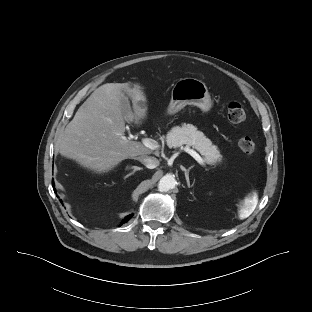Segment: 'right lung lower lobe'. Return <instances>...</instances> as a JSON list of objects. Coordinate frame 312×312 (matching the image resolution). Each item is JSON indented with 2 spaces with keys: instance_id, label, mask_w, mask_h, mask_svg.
<instances>
[{
  "instance_id": "right-lung-lower-lobe-1",
  "label": "right lung lower lobe",
  "mask_w": 312,
  "mask_h": 312,
  "mask_svg": "<svg viewBox=\"0 0 312 312\" xmlns=\"http://www.w3.org/2000/svg\"><path fill=\"white\" fill-rule=\"evenodd\" d=\"M52 185L54 186V183H52ZM54 191H55V188H54ZM131 217H132V215L127 216V217L123 220V222H122L121 224H123V223H125L126 221H128Z\"/></svg>"
}]
</instances>
